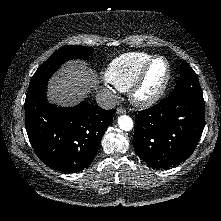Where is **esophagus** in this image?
<instances>
[{
	"instance_id": "obj_1",
	"label": "esophagus",
	"mask_w": 221,
	"mask_h": 221,
	"mask_svg": "<svg viewBox=\"0 0 221 221\" xmlns=\"http://www.w3.org/2000/svg\"><path fill=\"white\" fill-rule=\"evenodd\" d=\"M126 113V110L122 107H118L117 110H116V114H124Z\"/></svg>"
}]
</instances>
